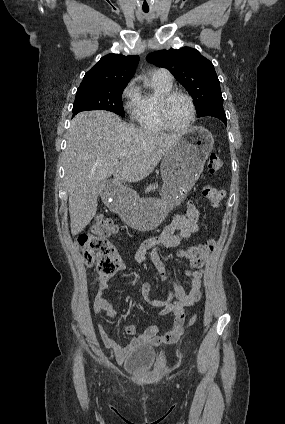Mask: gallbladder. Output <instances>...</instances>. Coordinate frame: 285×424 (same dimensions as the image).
<instances>
[{
  "label": "gallbladder",
  "mask_w": 285,
  "mask_h": 424,
  "mask_svg": "<svg viewBox=\"0 0 285 424\" xmlns=\"http://www.w3.org/2000/svg\"><path fill=\"white\" fill-rule=\"evenodd\" d=\"M110 183H111V181H110V180H107V179L100 180V181L98 182L97 186H96V193H97L98 195H102V194H103V191H104V189H105V187H106L108 184H110Z\"/></svg>",
  "instance_id": "bac80fb5"
}]
</instances>
